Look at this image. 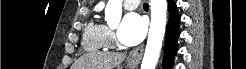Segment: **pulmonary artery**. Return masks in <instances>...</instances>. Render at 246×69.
<instances>
[{"mask_svg": "<svg viewBox=\"0 0 246 69\" xmlns=\"http://www.w3.org/2000/svg\"><path fill=\"white\" fill-rule=\"evenodd\" d=\"M140 3L141 2L138 0H126L124 1V7L126 9L132 10V9L139 7Z\"/></svg>", "mask_w": 246, "mask_h": 69, "instance_id": "obj_1", "label": "pulmonary artery"}]
</instances>
